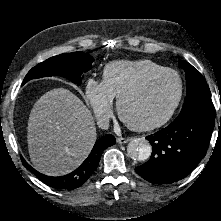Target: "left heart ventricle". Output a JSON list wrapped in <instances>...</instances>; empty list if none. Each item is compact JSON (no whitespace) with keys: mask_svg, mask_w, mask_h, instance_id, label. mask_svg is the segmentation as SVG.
<instances>
[{"mask_svg":"<svg viewBox=\"0 0 221 221\" xmlns=\"http://www.w3.org/2000/svg\"><path fill=\"white\" fill-rule=\"evenodd\" d=\"M177 94L176 77L171 74L163 75L124 103V115L135 124L153 122L170 109Z\"/></svg>","mask_w":221,"mask_h":221,"instance_id":"b2bd125f","label":"left heart ventricle"}]
</instances>
